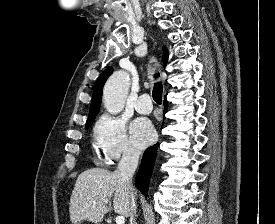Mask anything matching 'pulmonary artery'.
I'll use <instances>...</instances> for the list:
<instances>
[{
    "label": "pulmonary artery",
    "mask_w": 275,
    "mask_h": 224,
    "mask_svg": "<svg viewBox=\"0 0 275 224\" xmlns=\"http://www.w3.org/2000/svg\"><path fill=\"white\" fill-rule=\"evenodd\" d=\"M135 109L141 114H149L152 111V102L148 94L140 95L135 103Z\"/></svg>",
    "instance_id": "e3ab8cb5"
}]
</instances>
